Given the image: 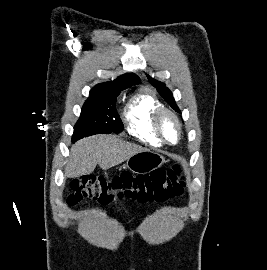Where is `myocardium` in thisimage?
Listing matches in <instances>:
<instances>
[{"label": "myocardium", "instance_id": "f54148a6", "mask_svg": "<svg viewBox=\"0 0 267 270\" xmlns=\"http://www.w3.org/2000/svg\"><path fill=\"white\" fill-rule=\"evenodd\" d=\"M166 115L170 116L176 124L178 136H177V140L175 142L169 141L163 132L162 119ZM152 124H153V129H154L156 135L162 141V143L168 144V145H175L180 141L181 136H182V125H181V122H180L177 114L173 110H171L167 107L158 108L153 115Z\"/></svg>", "mask_w": 267, "mask_h": 270}]
</instances>
